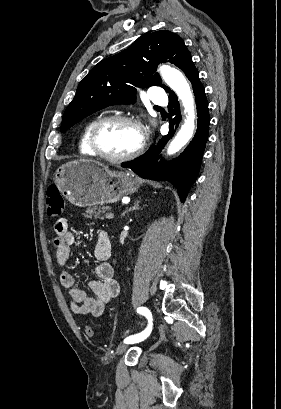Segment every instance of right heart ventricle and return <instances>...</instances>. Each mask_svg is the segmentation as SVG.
<instances>
[{
    "mask_svg": "<svg viewBox=\"0 0 281 409\" xmlns=\"http://www.w3.org/2000/svg\"><path fill=\"white\" fill-rule=\"evenodd\" d=\"M102 118L103 116H96L89 120L86 126L84 127V130L79 141V151L82 155L92 157L97 156L92 147V133L97 122Z\"/></svg>",
    "mask_w": 281,
    "mask_h": 409,
    "instance_id": "right-heart-ventricle-1",
    "label": "right heart ventricle"
}]
</instances>
